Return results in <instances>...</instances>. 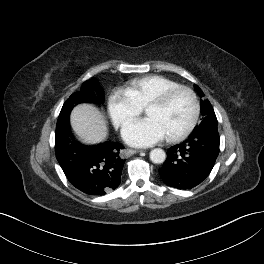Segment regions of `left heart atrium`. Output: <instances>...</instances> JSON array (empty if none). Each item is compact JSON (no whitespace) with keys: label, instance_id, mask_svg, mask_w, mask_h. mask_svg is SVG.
<instances>
[{"label":"left heart atrium","instance_id":"39dd6f15","mask_svg":"<svg viewBox=\"0 0 264 264\" xmlns=\"http://www.w3.org/2000/svg\"><path fill=\"white\" fill-rule=\"evenodd\" d=\"M124 140L137 147L151 146L165 137L161 126L152 118H144L129 123L123 129Z\"/></svg>","mask_w":264,"mask_h":264}]
</instances>
